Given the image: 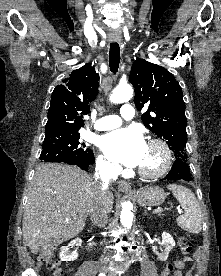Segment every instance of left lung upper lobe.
I'll return each mask as SVG.
<instances>
[{"label":"left lung upper lobe","mask_w":221,"mask_h":276,"mask_svg":"<svg viewBox=\"0 0 221 276\" xmlns=\"http://www.w3.org/2000/svg\"><path fill=\"white\" fill-rule=\"evenodd\" d=\"M129 80L135 88L136 108L148 107L141 116L143 124L165 139L176 159L187 160V119L178 81L164 67L140 58L134 61Z\"/></svg>","instance_id":"5c2ea615"}]
</instances>
